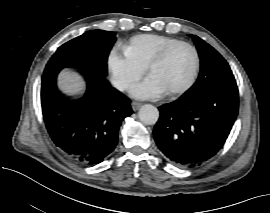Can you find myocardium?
<instances>
[{"label": "myocardium", "instance_id": "1", "mask_svg": "<svg viewBox=\"0 0 270 213\" xmlns=\"http://www.w3.org/2000/svg\"><path fill=\"white\" fill-rule=\"evenodd\" d=\"M181 46H186L193 51L194 56H195V65H194V68H193V71L189 80L182 87L166 92V95L169 97H178L180 95H183L184 93L189 91L195 84L197 76H198L199 67H200V56H199L197 48L189 42L179 41L167 47L162 52H160L155 58L151 60V62L148 65V72L151 73L152 69L156 67L157 65H159L161 62H163V60L168 56V54L171 51Z\"/></svg>", "mask_w": 270, "mask_h": 213}]
</instances>
